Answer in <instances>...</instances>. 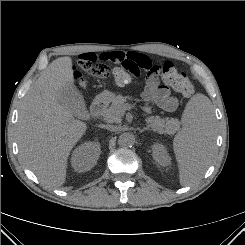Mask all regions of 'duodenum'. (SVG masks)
<instances>
[{"label":"duodenum","instance_id":"duodenum-1","mask_svg":"<svg viewBox=\"0 0 245 245\" xmlns=\"http://www.w3.org/2000/svg\"><path fill=\"white\" fill-rule=\"evenodd\" d=\"M107 98L105 96H98L91 105V114L95 117H98L104 111L107 105Z\"/></svg>","mask_w":245,"mask_h":245}]
</instances>
